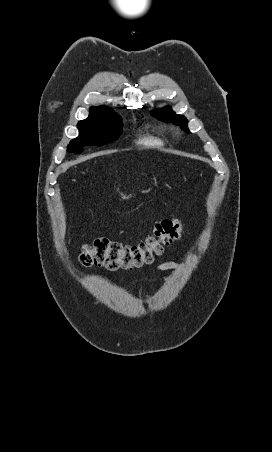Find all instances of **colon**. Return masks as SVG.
Listing matches in <instances>:
<instances>
[{"instance_id":"obj_1","label":"colon","mask_w":272,"mask_h":452,"mask_svg":"<svg viewBox=\"0 0 272 452\" xmlns=\"http://www.w3.org/2000/svg\"><path fill=\"white\" fill-rule=\"evenodd\" d=\"M178 220H163L152 234L136 245H123L107 239H97L82 247L79 260L85 267L103 266L108 269H134L151 264L155 256L175 242L181 233Z\"/></svg>"}]
</instances>
